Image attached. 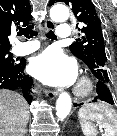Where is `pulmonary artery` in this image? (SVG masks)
I'll return each instance as SVG.
<instances>
[{
	"instance_id": "obj_1",
	"label": "pulmonary artery",
	"mask_w": 117,
	"mask_h": 136,
	"mask_svg": "<svg viewBox=\"0 0 117 136\" xmlns=\"http://www.w3.org/2000/svg\"><path fill=\"white\" fill-rule=\"evenodd\" d=\"M73 35H74L73 30L70 27V25L67 23L61 24L57 30V36L60 39H69L73 37ZM38 47H39L38 42H35V41L28 42V43L23 44L22 46L15 48V53L18 55H26V54L32 53Z\"/></svg>"
}]
</instances>
